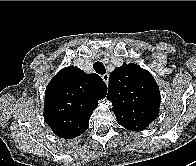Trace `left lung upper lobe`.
Listing matches in <instances>:
<instances>
[{
    "instance_id": "obj_1",
    "label": "left lung upper lobe",
    "mask_w": 196,
    "mask_h": 166,
    "mask_svg": "<svg viewBox=\"0 0 196 166\" xmlns=\"http://www.w3.org/2000/svg\"><path fill=\"white\" fill-rule=\"evenodd\" d=\"M107 99L121 126L142 131L158 116L161 97L149 71L124 63L110 73Z\"/></svg>"
}]
</instances>
